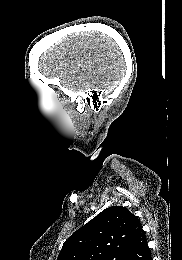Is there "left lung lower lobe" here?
I'll list each match as a JSON object with an SVG mask.
<instances>
[{
    "instance_id": "left-lung-lower-lobe-1",
    "label": "left lung lower lobe",
    "mask_w": 182,
    "mask_h": 260,
    "mask_svg": "<svg viewBox=\"0 0 182 260\" xmlns=\"http://www.w3.org/2000/svg\"><path fill=\"white\" fill-rule=\"evenodd\" d=\"M121 260H152L151 251L142 228L133 237Z\"/></svg>"
}]
</instances>
